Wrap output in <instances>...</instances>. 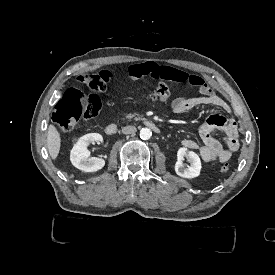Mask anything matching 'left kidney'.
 <instances>
[{"instance_id": "obj_1", "label": "left kidney", "mask_w": 275, "mask_h": 275, "mask_svg": "<svg viewBox=\"0 0 275 275\" xmlns=\"http://www.w3.org/2000/svg\"><path fill=\"white\" fill-rule=\"evenodd\" d=\"M184 157H187L191 163L188 168L183 166ZM175 171L177 175L183 178H194L199 176L201 171V161L199 156L193 151H188L185 147L180 148L177 152Z\"/></svg>"}]
</instances>
